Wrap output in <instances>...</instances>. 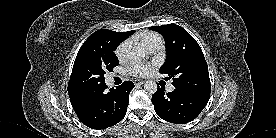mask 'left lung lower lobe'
Instances as JSON below:
<instances>
[{
    "instance_id": "left-lung-lower-lobe-1",
    "label": "left lung lower lobe",
    "mask_w": 276,
    "mask_h": 138,
    "mask_svg": "<svg viewBox=\"0 0 276 138\" xmlns=\"http://www.w3.org/2000/svg\"><path fill=\"white\" fill-rule=\"evenodd\" d=\"M210 94H197L175 88L173 92H164L161 87L152 96L157 115L172 123L184 124L194 120L207 105Z\"/></svg>"
}]
</instances>
